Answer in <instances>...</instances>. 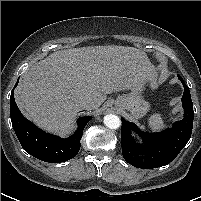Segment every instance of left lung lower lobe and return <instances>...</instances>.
<instances>
[{
	"mask_svg": "<svg viewBox=\"0 0 201 201\" xmlns=\"http://www.w3.org/2000/svg\"><path fill=\"white\" fill-rule=\"evenodd\" d=\"M178 78L184 86V117L171 128L158 133H141L135 124L122 118V153L124 159L132 166L142 169L165 166L175 159L189 141L194 118L193 103L188 86L180 75ZM132 131L141 136L142 144L136 142L131 135Z\"/></svg>",
	"mask_w": 201,
	"mask_h": 201,
	"instance_id": "0a47b994",
	"label": "left lung lower lobe"
}]
</instances>
